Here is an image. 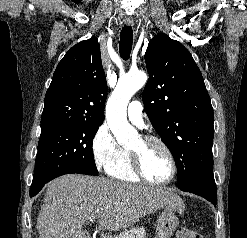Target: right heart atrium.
I'll use <instances>...</instances> for the list:
<instances>
[{"mask_svg": "<svg viewBox=\"0 0 247 238\" xmlns=\"http://www.w3.org/2000/svg\"><path fill=\"white\" fill-rule=\"evenodd\" d=\"M121 149L108 124L106 122L100 124L91 142L92 156L96 168L107 172L119 157Z\"/></svg>", "mask_w": 247, "mask_h": 238, "instance_id": "1", "label": "right heart atrium"}]
</instances>
